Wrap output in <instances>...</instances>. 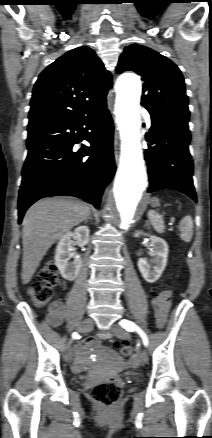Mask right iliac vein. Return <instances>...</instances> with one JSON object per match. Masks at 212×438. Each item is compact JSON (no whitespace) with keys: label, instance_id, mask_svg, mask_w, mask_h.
Listing matches in <instances>:
<instances>
[{"label":"right iliac vein","instance_id":"obj_1","mask_svg":"<svg viewBox=\"0 0 212 438\" xmlns=\"http://www.w3.org/2000/svg\"><path fill=\"white\" fill-rule=\"evenodd\" d=\"M93 320L92 319H85L83 320L77 327L78 332H89L93 329ZM73 358V350L71 347H67L65 352V360L67 362H71Z\"/></svg>","mask_w":212,"mask_h":438}]
</instances>
